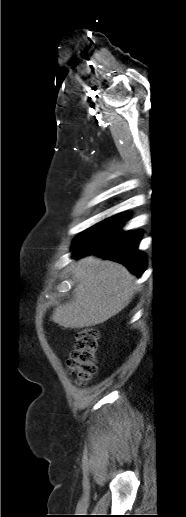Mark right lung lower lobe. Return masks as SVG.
Returning <instances> with one entry per match:
<instances>
[{
    "mask_svg": "<svg viewBox=\"0 0 186 517\" xmlns=\"http://www.w3.org/2000/svg\"><path fill=\"white\" fill-rule=\"evenodd\" d=\"M128 215L121 213L87 229L73 243V257L94 254L124 264L132 273L140 276L146 266V259L139 251V231H122L121 226Z\"/></svg>",
    "mask_w": 186,
    "mask_h": 517,
    "instance_id": "right-lung-lower-lobe-1",
    "label": "right lung lower lobe"
}]
</instances>
